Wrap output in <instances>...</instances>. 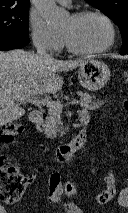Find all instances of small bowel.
<instances>
[{
    "mask_svg": "<svg viewBox=\"0 0 128 213\" xmlns=\"http://www.w3.org/2000/svg\"><path fill=\"white\" fill-rule=\"evenodd\" d=\"M103 101L98 100L93 103L92 109L101 107ZM89 113L86 110L80 112V119H86L89 122ZM126 152V150H124ZM35 175L31 174L28 176L27 181H33ZM48 201L52 204L62 206L63 213H82L80 208L71 202H63V186L61 183V176L58 171L51 170L48 173ZM0 213H8L6 208L0 203Z\"/></svg>",
    "mask_w": 128,
    "mask_h": 213,
    "instance_id": "obj_1",
    "label": "small bowel"
}]
</instances>
